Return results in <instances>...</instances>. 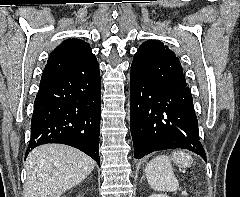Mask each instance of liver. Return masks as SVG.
<instances>
[{
    "instance_id": "obj_1",
    "label": "liver",
    "mask_w": 240,
    "mask_h": 197,
    "mask_svg": "<svg viewBox=\"0 0 240 197\" xmlns=\"http://www.w3.org/2000/svg\"><path fill=\"white\" fill-rule=\"evenodd\" d=\"M94 166V160L76 148L63 144L38 146L25 163L23 197H60L81 183Z\"/></svg>"
}]
</instances>
